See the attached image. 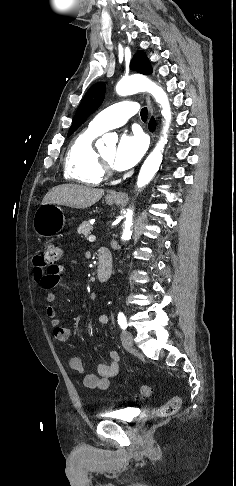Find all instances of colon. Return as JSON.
Segmentation results:
<instances>
[{"mask_svg": "<svg viewBox=\"0 0 236 486\" xmlns=\"http://www.w3.org/2000/svg\"><path fill=\"white\" fill-rule=\"evenodd\" d=\"M42 260L46 265L55 266L61 258V248L53 243L46 242L42 249ZM153 393V387L150 385H142L139 387L137 395L141 398H147ZM182 399L179 396L172 397L168 402L157 408L156 414L158 417H168L176 413L181 407Z\"/></svg>", "mask_w": 236, "mask_h": 486, "instance_id": "colon-1", "label": "colon"}]
</instances>
